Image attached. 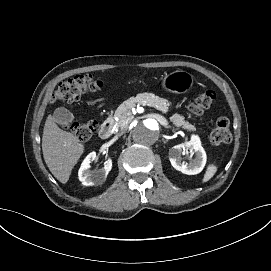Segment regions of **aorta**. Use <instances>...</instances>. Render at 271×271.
<instances>
[{"label":"aorta","instance_id":"aorta-1","mask_svg":"<svg viewBox=\"0 0 271 271\" xmlns=\"http://www.w3.org/2000/svg\"><path fill=\"white\" fill-rule=\"evenodd\" d=\"M131 135L136 144L153 145L160 136V125L155 119L147 118L134 126Z\"/></svg>","mask_w":271,"mask_h":271}]
</instances>
